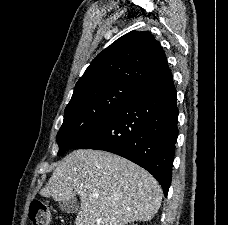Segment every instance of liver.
<instances>
[{
  "label": "liver",
  "mask_w": 228,
  "mask_h": 225,
  "mask_svg": "<svg viewBox=\"0 0 228 225\" xmlns=\"http://www.w3.org/2000/svg\"><path fill=\"white\" fill-rule=\"evenodd\" d=\"M40 195L54 201L79 195L76 225L151 221L162 201V189L147 171L123 157L92 149H77L60 161Z\"/></svg>",
  "instance_id": "liver-1"
}]
</instances>
